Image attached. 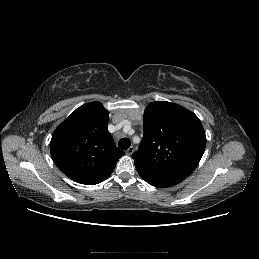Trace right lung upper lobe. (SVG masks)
Here are the masks:
<instances>
[{"label": "right lung upper lobe", "mask_w": 259, "mask_h": 259, "mask_svg": "<svg viewBox=\"0 0 259 259\" xmlns=\"http://www.w3.org/2000/svg\"><path fill=\"white\" fill-rule=\"evenodd\" d=\"M109 112L96 101L82 105L52 135L50 152L70 179L95 185L107 179L124 152L107 129Z\"/></svg>", "instance_id": "right-lung-upper-lobe-1"}]
</instances>
